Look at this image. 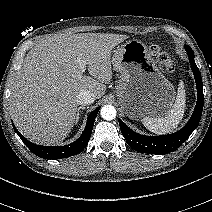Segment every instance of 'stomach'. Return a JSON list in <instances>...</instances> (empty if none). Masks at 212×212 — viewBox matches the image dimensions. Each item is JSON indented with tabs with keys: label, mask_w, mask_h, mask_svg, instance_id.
<instances>
[{
	"label": "stomach",
	"mask_w": 212,
	"mask_h": 212,
	"mask_svg": "<svg viewBox=\"0 0 212 212\" xmlns=\"http://www.w3.org/2000/svg\"><path fill=\"white\" fill-rule=\"evenodd\" d=\"M112 64L121 75L117 100L129 118L164 117L170 111L175 89L144 43L137 39L126 41L115 51Z\"/></svg>",
	"instance_id": "obj_1"
}]
</instances>
